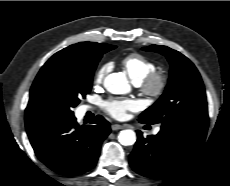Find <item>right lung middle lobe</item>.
Masks as SVG:
<instances>
[{
  "label": "right lung middle lobe",
  "mask_w": 230,
  "mask_h": 186,
  "mask_svg": "<svg viewBox=\"0 0 230 186\" xmlns=\"http://www.w3.org/2000/svg\"><path fill=\"white\" fill-rule=\"evenodd\" d=\"M115 47L104 43L87 56H63L46 62L36 79L41 100L52 120L74 117L72 108L90 92L97 63Z\"/></svg>",
  "instance_id": "dd1d6c3e"
}]
</instances>
